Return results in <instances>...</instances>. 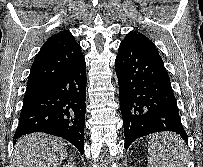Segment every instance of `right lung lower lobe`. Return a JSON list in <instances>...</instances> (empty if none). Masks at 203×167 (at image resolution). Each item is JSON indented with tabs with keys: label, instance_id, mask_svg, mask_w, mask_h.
Instances as JSON below:
<instances>
[{
	"label": "right lung lower lobe",
	"instance_id": "1",
	"mask_svg": "<svg viewBox=\"0 0 203 167\" xmlns=\"http://www.w3.org/2000/svg\"><path fill=\"white\" fill-rule=\"evenodd\" d=\"M85 90L83 56L49 86L25 94L14 143L23 135L44 132L68 140L83 154Z\"/></svg>",
	"mask_w": 203,
	"mask_h": 167
}]
</instances>
